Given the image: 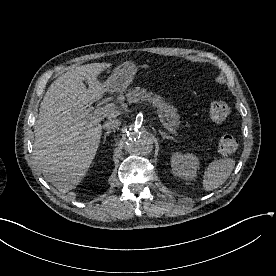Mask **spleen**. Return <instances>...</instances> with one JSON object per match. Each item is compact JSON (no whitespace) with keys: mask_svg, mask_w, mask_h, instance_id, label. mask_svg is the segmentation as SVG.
Returning a JSON list of instances; mask_svg holds the SVG:
<instances>
[{"mask_svg":"<svg viewBox=\"0 0 276 276\" xmlns=\"http://www.w3.org/2000/svg\"><path fill=\"white\" fill-rule=\"evenodd\" d=\"M234 166L235 161L231 158L211 162L204 173V190L211 191L222 185L229 178Z\"/></svg>","mask_w":276,"mask_h":276,"instance_id":"spleen-1","label":"spleen"}]
</instances>
